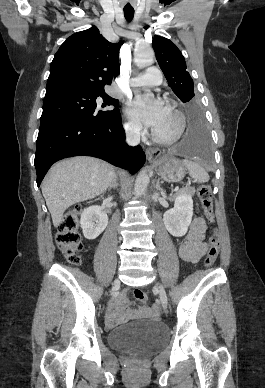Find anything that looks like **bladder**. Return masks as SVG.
Instances as JSON below:
<instances>
[{
  "label": "bladder",
  "instance_id": "bladder-1",
  "mask_svg": "<svg viewBox=\"0 0 265 388\" xmlns=\"http://www.w3.org/2000/svg\"><path fill=\"white\" fill-rule=\"evenodd\" d=\"M165 328L153 321H137L113 329L108 333L109 346L127 352H148L165 343Z\"/></svg>",
  "mask_w": 265,
  "mask_h": 388
}]
</instances>
